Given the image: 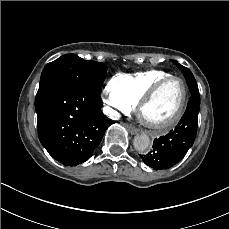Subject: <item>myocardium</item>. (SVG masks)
Masks as SVG:
<instances>
[{
	"instance_id": "f54148a6",
	"label": "myocardium",
	"mask_w": 229,
	"mask_h": 229,
	"mask_svg": "<svg viewBox=\"0 0 229 229\" xmlns=\"http://www.w3.org/2000/svg\"><path fill=\"white\" fill-rule=\"evenodd\" d=\"M175 79L180 80L183 83L184 88H185V103H184L183 109L181 110V112L178 114V116L176 118H174L173 120H171L165 124L157 125V124L150 122L146 117V111H145L146 104L150 101L152 96L162 86H165L167 83H171ZM190 101H191V94H190V91L188 89V86H187L185 79L181 76H178V75H170L165 79L160 78L159 80L153 82L149 86L148 90L141 97L140 102L137 104V107L140 109L141 120L143 121V123L148 128H150L151 130H153L156 133H165V132L169 131L170 129H172L173 127H175L182 120L183 116L185 115V113L189 107Z\"/></svg>"
}]
</instances>
